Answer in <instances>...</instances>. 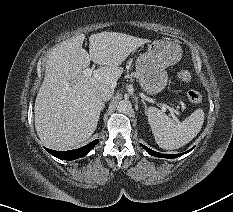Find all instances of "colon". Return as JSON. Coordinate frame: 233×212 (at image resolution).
<instances>
[{"label":"colon","mask_w":233,"mask_h":212,"mask_svg":"<svg viewBox=\"0 0 233 212\" xmlns=\"http://www.w3.org/2000/svg\"><path fill=\"white\" fill-rule=\"evenodd\" d=\"M177 77L180 81H182L184 83H189L192 80V76H191L190 72H188L186 70L179 71L177 74ZM187 98L194 105H199L202 102V96L200 95L199 92H197L195 90H189L187 92Z\"/></svg>","instance_id":"obj_1"}]
</instances>
